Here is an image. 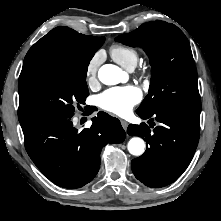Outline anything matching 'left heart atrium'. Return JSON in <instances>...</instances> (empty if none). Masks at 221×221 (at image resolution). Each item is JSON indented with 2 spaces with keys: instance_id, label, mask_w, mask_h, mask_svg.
I'll list each match as a JSON object with an SVG mask.
<instances>
[{
  "instance_id": "left-heart-atrium-1",
  "label": "left heart atrium",
  "mask_w": 221,
  "mask_h": 221,
  "mask_svg": "<svg viewBox=\"0 0 221 221\" xmlns=\"http://www.w3.org/2000/svg\"><path fill=\"white\" fill-rule=\"evenodd\" d=\"M141 98V91L133 85L112 87L99 95L98 104L110 113L123 116L128 114Z\"/></svg>"
}]
</instances>
